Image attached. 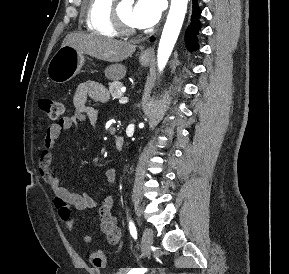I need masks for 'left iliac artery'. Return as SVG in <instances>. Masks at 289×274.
I'll use <instances>...</instances> for the list:
<instances>
[{"mask_svg": "<svg viewBox=\"0 0 289 274\" xmlns=\"http://www.w3.org/2000/svg\"><path fill=\"white\" fill-rule=\"evenodd\" d=\"M129 230L131 236L136 240L137 239V230L132 220L129 221Z\"/></svg>", "mask_w": 289, "mask_h": 274, "instance_id": "left-iliac-artery-1", "label": "left iliac artery"}]
</instances>
